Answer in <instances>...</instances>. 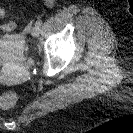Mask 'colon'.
Returning <instances> with one entry per match:
<instances>
[{
    "mask_svg": "<svg viewBox=\"0 0 133 133\" xmlns=\"http://www.w3.org/2000/svg\"><path fill=\"white\" fill-rule=\"evenodd\" d=\"M5 16V11L2 7H0V18H3ZM10 28H14L13 23L8 24ZM2 102L5 107H11L15 104L16 102V95L13 92H7L4 94Z\"/></svg>",
    "mask_w": 133,
    "mask_h": 133,
    "instance_id": "5ec220e1",
    "label": "colon"
}]
</instances>
